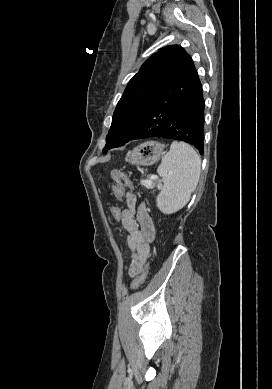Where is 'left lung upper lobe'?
Wrapping results in <instances>:
<instances>
[{
	"label": "left lung upper lobe",
	"instance_id": "1",
	"mask_svg": "<svg viewBox=\"0 0 272 389\" xmlns=\"http://www.w3.org/2000/svg\"><path fill=\"white\" fill-rule=\"evenodd\" d=\"M191 61L192 58L181 46L172 45L163 47L143 63L116 106L103 153L127 142L153 99Z\"/></svg>",
	"mask_w": 272,
	"mask_h": 389
}]
</instances>
